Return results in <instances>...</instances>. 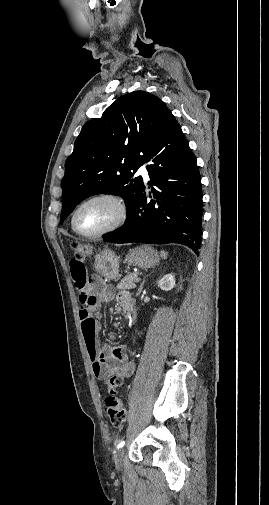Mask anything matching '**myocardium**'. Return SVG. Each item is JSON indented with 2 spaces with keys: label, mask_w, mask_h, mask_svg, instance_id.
Listing matches in <instances>:
<instances>
[{
  "label": "myocardium",
  "mask_w": 269,
  "mask_h": 505,
  "mask_svg": "<svg viewBox=\"0 0 269 505\" xmlns=\"http://www.w3.org/2000/svg\"><path fill=\"white\" fill-rule=\"evenodd\" d=\"M100 199L109 200L117 206L118 216H117L116 220L111 225H109L108 227H106L98 232L86 233V232L81 231L76 224V218H77L78 212L80 211V209L84 205H86L92 201L100 200ZM128 214H129L128 205L123 197H121L118 194L112 193V192H100V193L91 195L90 197L86 198L75 208V210L72 214V218H71V226H72V229L78 235H80L82 237L97 238V237H101L103 235H106L110 232H113V231L117 230L118 228H120L121 226H123L128 218Z\"/></svg>",
  "instance_id": "f54148a6"
}]
</instances>
